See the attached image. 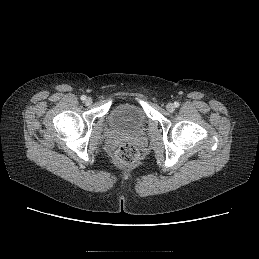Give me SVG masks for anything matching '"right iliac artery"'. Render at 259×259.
Segmentation results:
<instances>
[{
	"label": "right iliac artery",
	"instance_id": "obj_1",
	"mask_svg": "<svg viewBox=\"0 0 259 259\" xmlns=\"http://www.w3.org/2000/svg\"><path fill=\"white\" fill-rule=\"evenodd\" d=\"M81 100H82V101L86 100V96H85V95H82V96H81Z\"/></svg>",
	"mask_w": 259,
	"mask_h": 259
}]
</instances>
